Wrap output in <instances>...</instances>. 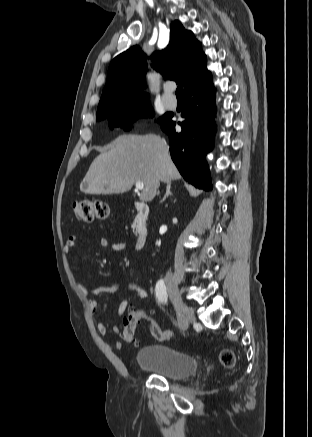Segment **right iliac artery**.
<instances>
[{"label": "right iliac artery", "instance_id": "1", "mask_svg": "<svg viewBox=\"0 0 312 437\" xmlns=\"http://www.w3.org/2000/svg\"><path fill=\"white\" fill-rule=\"evenodd\" d=\"M156 297L159 302L166 303L167 302V291L164 281L161 279L157 282L155 287Z\"/></svg>", "mask_w": 312, "mask_h": 437}]
</instances>
